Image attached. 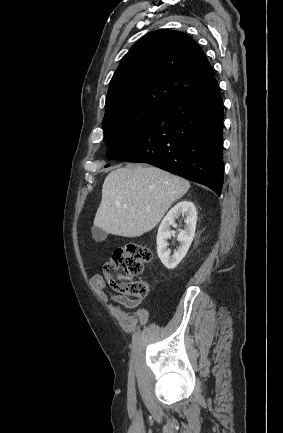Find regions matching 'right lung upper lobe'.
Returning <instances> with one entry per match:
<instances>
[{
	"instance_id": "cb5924a9",
	"label": "right lung upper lobe",
	"mask_w": 283,
	"mask_h": 433,
	"mask_svg": "<svg viewBox=\"0 0 283 433\" xmlns=\"http://www.w3.org/2000/svg\"><path fill=\"white\" fill-rule=\"evenodd\" d=\"M215 81L206 55L192 38L179 31H153L122 58L105 109L128 104L164 108Z\"/></svg>"
}]
</instances>
